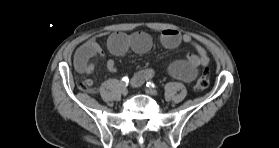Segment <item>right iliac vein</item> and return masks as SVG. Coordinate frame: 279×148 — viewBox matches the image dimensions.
<instances>
[{
    "label": "right iliac vein",
    "mask_w": 279,
    "mask_h": 148,
    "mask_svg": "<svg viewBox=\"0 0 279 148\" xmlns=\"http://www.w3.org/2000/svg\"><path fill=\"white\" fill-rule=\"evenodd\" d=\"M122 95L126 96L128 94V89L127 88H122L121 90Z\"/></svg>",
    "instance_id": "1"
}]
</instances>
